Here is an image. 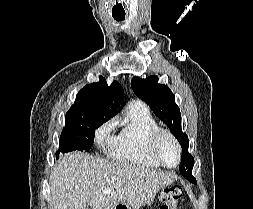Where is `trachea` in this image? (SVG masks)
Segmentation results:
<instances>
[{"label": "trachea", "mask_w": 253, "mask_h": 209, "mask_svg": "<svg viewBox=\"0 0 253 209\" xmlns=\"http://www.w3.org/2000/svg\"><path fill=\"white\" fill-rule=\"evenodd\" d=\"M114 19L117 21H123L125 19V17L124 16L123 17H114Z\"/></svg>", "instance_id": "1"}]
</instances>
